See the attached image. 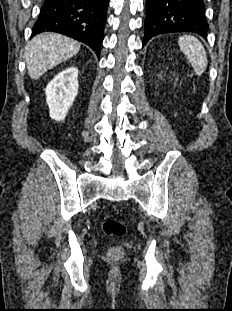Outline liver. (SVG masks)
Wrapping results in <instances>:
<instances>
[{
	"label": "liver",
	"mask_w": 232,
	"mask_h": 311,
	"mask_svg": "<svg viewBox=\"0 0 232 311\" xmlns=\"http://www.w3.org/2000/svg\"><path fill=\"white\" fill-rule=\"evenodd\" d=\"M79 50L80 43L64 35H37L26 48L28 74L36 80L47 70L76 55Z\"/></svg>",
	"instance_id": "6515ba94"
}]
</instances>
